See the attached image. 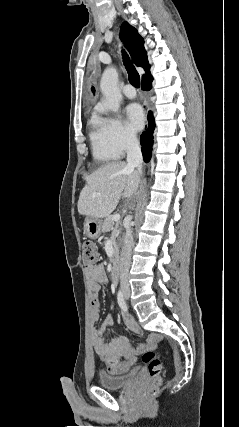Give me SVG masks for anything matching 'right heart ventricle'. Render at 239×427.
<instances>
[{
    "mask_svg": "<svg viewBox=\"0 0 239 427\" xmlns=\"http://www.w3.org/2000/svg\"><path fill=\"white\" fill-rule=\"evenodd\" d=\"M90 140L93 157L98 162H109L119 157L110 147L102 127V120L96 115L91 119Z\"/></svg>",
    "mask_w": 239,
    "mask_h": 427,
    "instance_id": "right-heart-ventricle-1",
    "label": "right heart ventricle"
}]
</instances>
